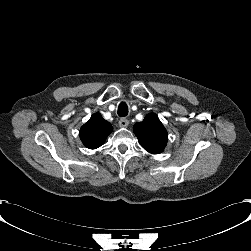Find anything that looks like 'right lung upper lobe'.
Returning <instances> with one entry per match:
<instances>
[{
	"mask_svg": "<svg viewBox=\"0 0 251 251\" xmlns=\"http://www.w3.org/2000/svg\"><path fill=\"white\" fill-rule=\"evenodd\" d=\"M112 125L96 113L80 130V138L89 149H96L104 144L108 135L112 132Z\"/></svg>",
	"mask_w": 251,
	"mask_h": 251,
	"instance_id": "right-lung-upper-lobe-1",
	"label": "right lung upper lobe"
}]
</instances>
